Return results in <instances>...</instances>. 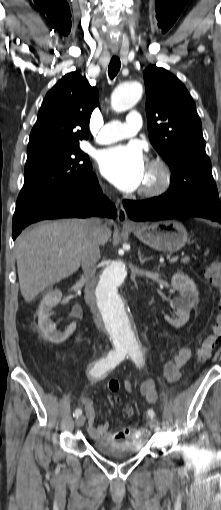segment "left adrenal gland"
<instances>
[{
    "label": "left adrenal gland",
    "instance_id": "obj_1",
    "mask_svg": "<svg viewBox=\"0 0 221 510\" xmlns=\"http://www.w3.org/2000/svg\"><path fill=\"white\" fill-rule=\"evenodd\" d=\"M151 259H152V257H145L144 258L141 253L139 254V261H140L141 264H144L146 261H149Z\"/></svg>",
    "mask_w": 221,
    "mask_h": 510
}]
</instances>
